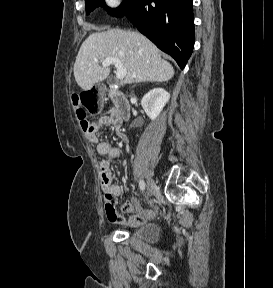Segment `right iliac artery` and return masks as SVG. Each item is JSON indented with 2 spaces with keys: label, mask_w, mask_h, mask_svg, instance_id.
<instances>
[{
  "label": "right iliac artery",
  "mask_w": 273,
  "mask_h": 288,
  "mask_svg": "<svg viewBox=\"0 0 273 288\" xmlns=\"http://www.w3.org/2000/svg\"><path fill=\"white\" fill-rule=\"evenodd\" d=\"M139 187H140V189H141L142 191L145 190V183H144L143 180H140V182H139Z\"/></svg>",
  "instance_id": "obj_1"
}]
</instances>
